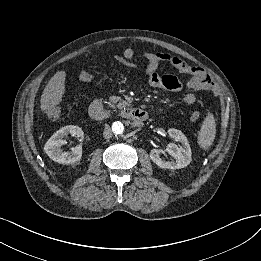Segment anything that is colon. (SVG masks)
I'll use <instances>...</instances> for the list:
<instances>
[{
    "label": "colon",
    "instance_id": "5ec220e1",
    "mask_svg": "<svg viewBox=\"0 0 261 261\" xmlns=\"http://www.w3.org/2000/svg\"><path fill=\"white\" fill-rule=\"evenodd\" d=\"M179 71L182 73L189 74L191 79L189 80V85L193 90H206L211 87L212 79L207 71L201 67L191 66L186 63H181L179 67ZM45 113L48 117L56 119L59 117V111L55 107H48L45 110ZM200 114L198 112H194L192 114V119H198Z\"/></svg>",
    "mask_w": 261,
    "mask_h": 261
}]
</instances>
